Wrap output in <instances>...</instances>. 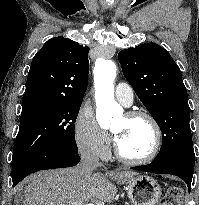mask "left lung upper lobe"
<instances>
[{
    "instance_id": "left-lung-upper-lobe-1",
    "label": "left lung upper lobe",
    "mask_w": 199,
    "mask_h": 205,
    "mask_svg": "<svg viewBox=\"0 0 199 205\" xmlns=\"http://www.w3.org/2000/svg\"><path fill=\"white\" fill-rule=\"evenodd\" d=\"M118 59L125 78L163 133V145L153 163H195L187 90L170 54L156 43H145L120 51Z\"/></svg>"
}]
</instances>
